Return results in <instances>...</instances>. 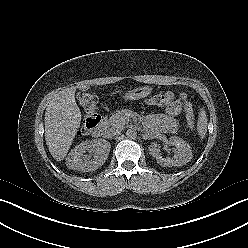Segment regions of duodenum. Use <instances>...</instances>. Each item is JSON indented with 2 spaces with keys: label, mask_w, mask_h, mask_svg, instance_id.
I'll use <instances>...</instances> for the list:
<instances>
[{
  "label": "duodenum",
  "mask_w": 248,
  "mask_h": 248,
  "mask_svg": "<svg viewBox=\"0 0 248 248\" xmlns=\"http://www.w3.org/2000/svg\"><path fill=\"white\" fill-rule=\"evenodd\" d=\"M92 135L96 138L102 137L106 131V122L99 119L95 127L92 128Z\"/></svg>",
  "instance_id": "410a0bca"
}]
</instances>
